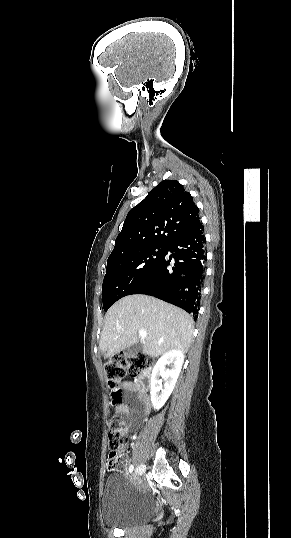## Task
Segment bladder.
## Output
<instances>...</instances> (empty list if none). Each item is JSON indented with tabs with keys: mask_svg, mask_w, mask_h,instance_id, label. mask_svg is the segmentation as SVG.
<instances>
[{
	"mask_svg": "<svg viewBox=\"0 0 291 538\" xmlns=\"http://www.w3.org/2000/svg\"><path fill=\"white\" fill-rule=\"evenodd\" d=\"M152 498L141 492L125 473L106 477L102 490V520L113 528H130L147 522L153 515Z\"/></svg>",
	"mask_w": 291,
	"mask_h": 538,
	"instance_id": "bladder-1",
	"label": "bladder"
}]
</instances>
